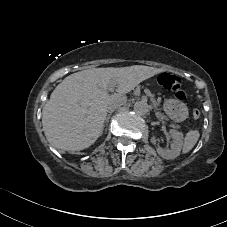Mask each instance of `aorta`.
Segmentation results:
<instances>
[{
	"label": "aorta",
	"mask_w": 227,
	"mask_h": 227,
	"mask_svg": "<svg viewBox=\"0 0 227 227\" xmlns=\"http://www.w3.org/2000/svg\"><path fill=\"white\" fill-rule=\"evenodd\" d=\"M133 110L138 115H145L149 111V105L147 104V102H145L143 100L136 101V102H134Z\"/></svg>",
	"instance_id": "obj_1"
}]
</instances>
